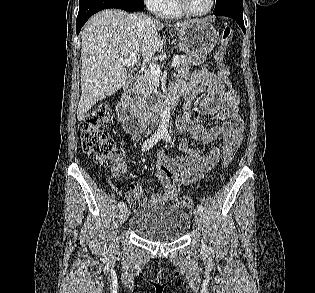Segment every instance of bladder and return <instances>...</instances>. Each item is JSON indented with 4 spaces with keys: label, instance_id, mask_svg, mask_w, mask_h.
I'll use <instances>...</instances> for the list:
<instances>
[{
    "label": "bladder",
    "instance_id": "1",
    "mask_svg": "<svg viewBox=\"0 0 315 293\" xmlns=\"http://www.w3.org/2000/svg\"><path fill=\"white\" fill-rule=\"evenodd\" d=\"M130 229L139 237L160 243L180 240L191 227L190 216L173 204L149 205L130 220Z\"/></svg>",
    "mask_w": 315,
    "mask_h": 293
}]
</instances>
